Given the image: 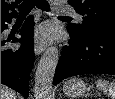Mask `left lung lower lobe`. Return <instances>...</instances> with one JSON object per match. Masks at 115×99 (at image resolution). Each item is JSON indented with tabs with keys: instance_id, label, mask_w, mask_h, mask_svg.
I'll use <instances>...</instances> for the list:
<instances>
[{
	"instance_id": "1",
	"label": "left lung lower lobe",
	"mask_w": 115,
	"mask_h": 99,
	"mask_svg": "<svg viewBox=\"0 0 115 99\" xmlns=\"http://www.w3.org/2000/svg\"><path fill=\"white\" fill-rule=\"evenodd\" d=\"M68 32L70 40L68 45L63 47L54 75V85L75 75H115V37L88 35L78 38Z\"/></svg>"
}]
</instances>
